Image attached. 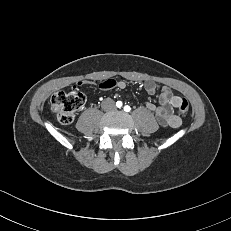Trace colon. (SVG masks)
I'll use <instances>...</instances> for the list:
<instances>
[{
  "label": "colon",
  "mask_w": 231,
  "mask_h": 231,
  "mask_svg": "<svg viewBox=\"0 0 231 231\" xmlns=\"http://www.w3.org/2000/svg\"><path fill=\"white\" fill-rule=\"evenodd\" d=\"M84 103V94L74 86L68 91L56 92L51 98V109L60 123L70 124ZM178 109L183 114L189 111V103L185 98H182Z\"/></svg>",
  "instance_id": "1"
}]
</instances>
